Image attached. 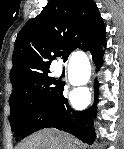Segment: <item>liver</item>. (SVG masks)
Returning <instances> with one entry per match:
<instances>
[{
	"mask_svg": "<svg viewBox=\"0 0 124 149\" xmlns=\"http://www.w3.org/2000/svg\"><path fill=\"white\" fill-rule=\"evenodd\" d=\"M76 144L78 141L68 134L45 129L27 138L20 149H76Z\"/></svg>",
	"mask_w": 124,
	"mask_h": 149,
	"instance_id": "liver-1",
	"label": "liver"
}]
</instances>
